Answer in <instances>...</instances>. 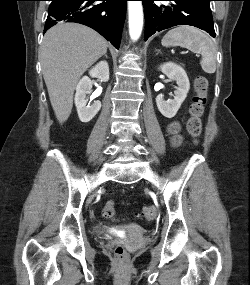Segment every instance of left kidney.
I'll list each match as a JSON object with an SVG mask.
<instances>
[{
	"label": "left kidney",
	"instance_id": "obj_1",
	"mask_svg": "<svg viewBox=\"0 0 250 285\" xmlns=\"http://www.w3.org/2000/svg\"><path fill=\"white\" fill-rule=\"evenodd\" d=\"M159 70L170 81L174 80L177 83L176 90L174 91V99L165 101L161 94L156 97V104L160 113L166 118H173L187 97L190 89L189 79L185 70L173 62L164 63L159 67Z\"/></svg>",
	"mask_w": 250,
	"mask_h": 285
}]
</instances>
